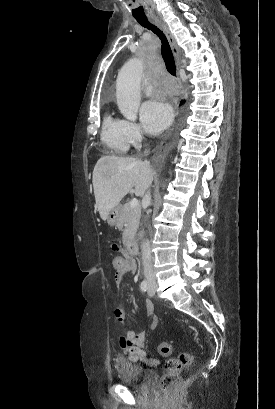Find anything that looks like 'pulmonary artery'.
Listing matches in <instances>:
<instances>
[{"label":"pulmonary artery","mask_w":275,"mask_h":409,"mask_svg":"<svg viewBox=\"0 0 275 409\" xmlns=\"http://www.w3.org/2000/svg\"><path fill=\"white\" fill-rule=\"evenodd\" d=\"M145 91L148 93L149 96H152L154 93L153 87L152 86H147L145 88Z\"/></svg>","instance_id":"e3ab8cb5"}]
</instances>
